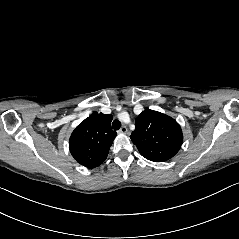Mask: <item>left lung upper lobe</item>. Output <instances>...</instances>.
I'll return each instance as SVG.
<instances>
[{
    "mask_svg": "<svg viewBox=\"0 0 239 239\" xmlns=\"http://www.w3.org/2000/svg\"><path fill=\"white\" fill-rule=\"evenodd\" d=\"M130 138L143 157L163 162L179 151L183 134L180 125L173 118L147 109L137 117Z\"/></svg>",
    "mask_w": 239,
    "mask_h": 239,
    "instance_id": "obj_1",
    "label": "left lung upper lobe"
}]
</instances>
